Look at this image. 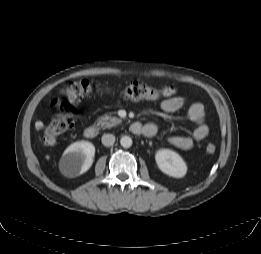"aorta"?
Here are the masks:
<instances>
[{"instance_id":"aorta-1","label":"aorta","mask_w":261,"mask_h":254,"mask_svg":"<svg viewBox=\"0 0 261 254\" xmlns=\"http://www.w3.org/2000/svg\"><path fill=\"white\" fill-rule=\"evenodd\" d=\"M120 144L124 148H129L132 145V139L129 136H123L120 139Z\"/></svg>"}]
</instances>
